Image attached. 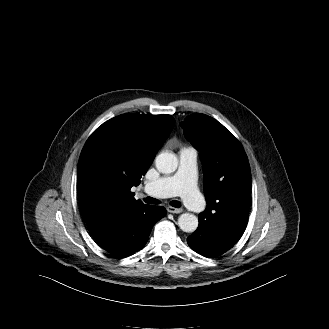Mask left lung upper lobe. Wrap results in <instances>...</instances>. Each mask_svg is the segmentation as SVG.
<instances>
[{"instance_id":"5c2ea615","label":"left lung upper lobe","mask_w":329,"mask_h":329,"mask_svg":"<svg viewBox=\"0 0 329 329\" xmlns=\"http://www.w3.org/2000/svg\"><path fill=\"white\" fill-rule=\"evenodd\" d=\"M188 141L201 153L207 208L199 219L208 225L238 219L248 211L251 172L240 142L214 118L195 113L180 123Z\"/></svg>"}]
</instances>
